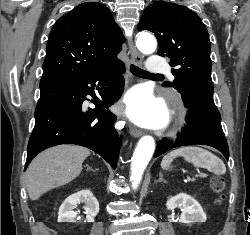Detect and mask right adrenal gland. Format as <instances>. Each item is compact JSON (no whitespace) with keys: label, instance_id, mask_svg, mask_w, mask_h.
Returning a JSON list of instances; mask_svg holds the SVG:
<instances>
[{"label":"right adrenal gland","instance_id":"2a0ac1e0","mask_svg":"<svg viewBox=\"0 0 250 235\" xmlns=\"http://www.w3.org/2000/svg\"><path fill=\"white\" fill-rule=\"evenodd\" d=\"M87 170L95 172V170L92 167L88 166V165H87Z\"/></svg>","mask_w":250,"mask_h":235}]
</instances>
